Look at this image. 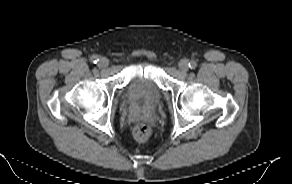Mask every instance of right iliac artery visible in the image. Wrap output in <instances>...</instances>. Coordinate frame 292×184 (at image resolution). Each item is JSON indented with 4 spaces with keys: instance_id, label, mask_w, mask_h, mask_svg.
<instances>
[{
    "instance_id": "obj_1",
    "label": "right iliac artery",
    "mask_w": 292,
    "mask_h": 184,
    "mask_svg": "<svg viewBox=\"0 0 292 184\" xmlns=\"http://www.w3.org/2000/svg\"><path fill=\"white\" fill-rule=\"evenodd\" d=\"M98 58H97V56H92L91 57V62H93V63H97L98 62Z\"/></svg>"
}]
</instances>
